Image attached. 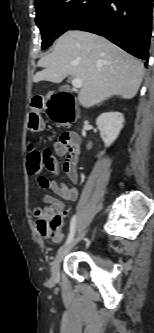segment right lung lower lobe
<instances>
[{
    "label": "right lung lower lobe",
    "mask_w": 154,
    "mask_h": 333,
    "mask_svg": "<svg viewBox=\"0 0 154 333\" xmlns=\"http://www.w3.org/2000/svg\"><path fill=\"white\" fill-rule=\"evenodd\" d=\"M152 6L153 0H100L88 17L69 30L104 36L130 54L148 60Z\"/></svg>",
    "instance_id": "obj_1"
}]
</instances>
